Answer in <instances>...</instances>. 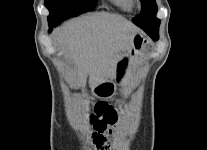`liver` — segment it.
<instances>
[{
	"label": "liver",
	"instance_id": "1",
	"mask_svg": "<svg viewBox=\"0 0 207 150\" xmlns=\"http://www.w3.org/2000/svg\"><path fill=\"white\" fill-rule=\"evenodd\" d=\"M138 28L122 16L98 12L68 22L55 31L56 44L76 67L77 85L90 87L115 76L116 62L130 50Z\"/></svg>",
	"mask_w": 207,
	"mask_h": 150
}]
</instances>
